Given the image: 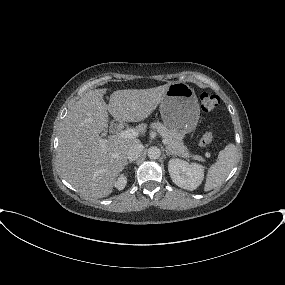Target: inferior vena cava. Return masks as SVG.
Segmentation results:
<instances>
[{
  "mask_svg": "<svg viewBox=\"0 0 285 285\" xmlns=\"http://www.w3.org/2000/svg\"><path fill=\"white\" fill-rule=\"evenodd\" d=\"M143 149L144 146L140 142L133 144L127 152V158L129 161L137 160L140 157Z\"/></svg>",
  "mask_w": 285,
  "mask_h": 285,
  "instance_id": "obj_1",
  "label": "inferior vena cava"
}]
</instances>
